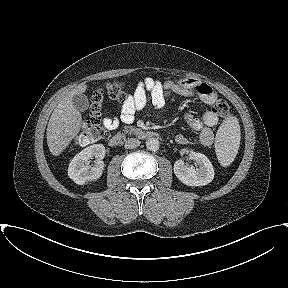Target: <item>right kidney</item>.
Here are the masks:
<instances>
[{
  "instance_id": "1",
  "label": "right kidney",
  "mask_w": 288,
  "mask_h": 288,
  "mask_svg": "<svg viewBox=\"0 0 288 288\" xmlns=\"http://www.w3.org/2000/svg\"><path fill=\"white\" fill-rule=\"evenodd\" d=\"M105 147L102 144H94L86 147L76 154L68 167V176L78 185L88 181H95L102 175L105 156ZM96 158L93 167H90L88 160Z\"/></svg>"
}]
</instances>
